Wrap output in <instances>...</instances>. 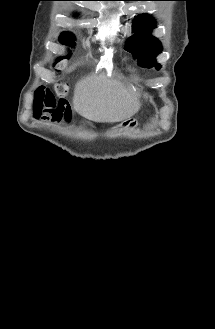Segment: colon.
I'll list each match as a JSON object with an SVG mask.
<instances>
[{"mask_svg":"<svg viewBox=\"0 0 215 329\" xmlns=\"http://www.w3.org/2000/svg\"><path fill=\"white\" fill-rule=\"evenodd\" d=\"M59 38H63L61 44L65 48L62 55L58 56L54 63V70L60 74L66 67L71 55V49H76L77 44L81 43L78 37V31H59ZM66 85L58 82L56 92L59 96L48 91L47 86H36V99L32 108L33 114H69L70 109L67 107L68 96H64Z\"/></svg>","mask_w":215,"mask_h":329,"instance_id":"colon-1","label":"colon"}]
</instances>
